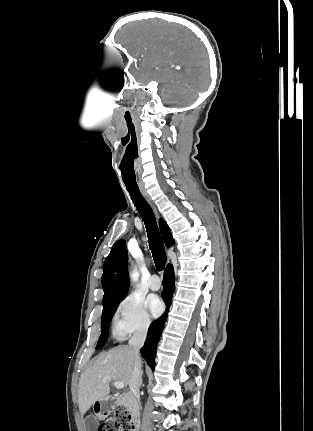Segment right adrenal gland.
Wrapping results in <instances>:
<instances>
[{
  "instance_id": "2a0ac1e0",
  "label": "right adrenal gland",
  "mask_w": 313,
  "mask_h": 431,
  "mask_svg": "<svg viewBox=\"0 0 313 431\" xmlns=\"http://www.w3.org/2000/svg\"><path fill=\"white\" fill-rule=\"evenodd\" d=\"M142 375H143V371L141 372V377H140V383L142 384L143 380H142Z\"/></svg>"
}]
</instances>
